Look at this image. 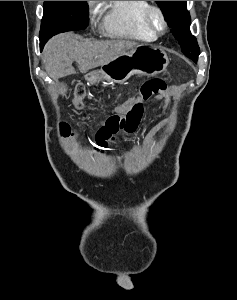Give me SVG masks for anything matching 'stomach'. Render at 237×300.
I'll list each match as a JSON object with an SVG mask.
<instances>
[{"mask_svg": "<svg viewBox=\"0 0 237 300\" xmlns=\"http://www.w3.org/2000/svg\"><path fill=\"white\" fill-rule=\"evenodd\" d=\"M169 65L167 53L159 47L137 45L131 51L116 55L115 59L101 65L100 71L94 73V79H105L109 83H125L132 75L154 77L166 71Z\"/></svg>", "mask_w": 237, "mask_h": 300, "instance_id": "stomach-1", "label": "stomach"}]
</instances>
